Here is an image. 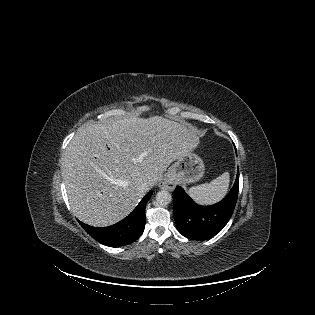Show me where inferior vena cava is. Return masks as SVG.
<instances>
[{
	"label": "inferior vena cava",
	"mask_w": 315,
	"mask_h": 315,
	"mask_svg": "<svg viewBox=\"0 0 315 315\" xmlns=\"http://www.w3.org/2000/svg\"><path fill=\"white\" fill-rule=\"evenodd\" d=\"M139 190L141 192H147L149 190V183L148 182H142L140 184Z\"/></svg>",
	"instance_id": "602c4592"
}]
</instances>
